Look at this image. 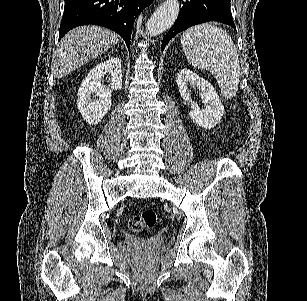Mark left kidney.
<instances>
[{
    "label": "left kidney",
    "instance_id": "left-kidney-1",
    "mask_svg": "<svg viewBox=\"0 0 307 301\" xmlns=\"http://www.w3.org/2000/svg\"><path fill=\"white\" fill-rule=\"evenodd\" d=\"M177 84L183 100L190 102L189 116L198 126L213 128L222 120L224 106L211 82L201 78L199 74L189 70V68H181L177 74ZM189 86H198L199 90H201V102L205 104L203 108H200L197 102L192 100Z\"/></svg>",
    "mask_w": 307,
    "mask_h": 301
}]
</instances>
